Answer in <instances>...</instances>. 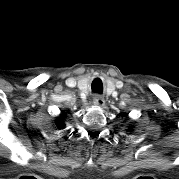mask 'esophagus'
I'll list each match as a JSON object with an SVG mask.
<instances>
[{
	"label": "esophagus",
	"instance_id": "34e87169",
	"mask_svg": "<svg viewBox=\"0 0 179 179\" xmlns=\"http://www.w3.org/2000/svg\"><path fill=\"white\" fill-rule=\"evenodd\" d=\"M93 103L98 106H104L105 100L101 95H95L93 99Z\"/></svg>",
	"mask_w": 179,
	"mask_h": 179
}]
</instances>
